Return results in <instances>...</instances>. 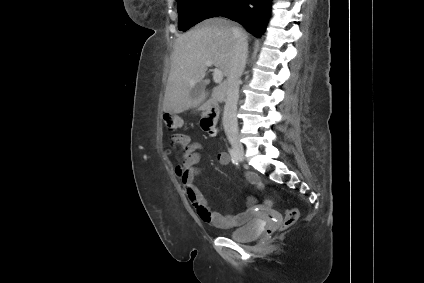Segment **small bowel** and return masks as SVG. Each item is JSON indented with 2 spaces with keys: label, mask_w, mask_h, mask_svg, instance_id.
<instances>
[{
  "label": "small bowel",
  "mask_w": 424,
  "mask_h": 283,
  "mask_svg": "<svg viewBox=\"0 0 424 283\" xmlns=\"http://www.w3.org/2000/svg\"><path fill=\"white\" fill-rule=\"evenodd\" d=\"M172 146L180 149L181 163L177 166L175 172L200 219L212 226L223 229L234 228L245 223L251 215L250 210L237 215L214 212L197 188L195 180L203 171L198 165L201 159V144L192 141L190 136L186 134H176L172 138ZM217 159L221 165H228L231 160L226 152H219ZM246 178L253 185L262 188V183L256 174L248 172Z\"/></svg>",
  "instance_id": "obj_1"
}]
</instances>
